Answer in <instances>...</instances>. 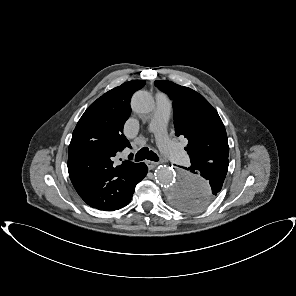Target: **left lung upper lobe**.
Here are the masks:
<instances>
[{
    "label": "left lung upper lobe",
    "mask_w": 296,
    "mask_h": 296,
    "mask_svg": "<svg viewBox=\"0 0 296 296\" xmlns=\"http://www.w3.org/2000/svg\"><path fill=\"white\" fill-rule=\"evenodd\" d=\"M155 85L173 100L175 135L188 139L185 150L191 164L228 161L229 146L224 124L217 111L199 93L166 80H157ZM194 194V193H186ZM195 199L185 198L180 192L173 204L180 209L196 211Z\"/></svg>",
    "instance_id": "5c2ea615"
}]
</instances>
